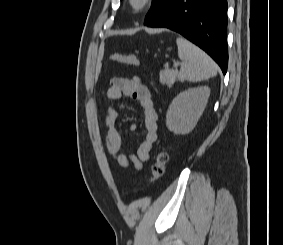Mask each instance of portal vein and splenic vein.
<instances>
[{"mask_svg":"<svg viewBox=\"0 0 283 245\" xmlns=\"http://www.w3.org/2000/svg\"><path fill=\"white\" fill-rule=\"evenodd\" d=\"M178 65H179V63H174V64H173V67H174V68H177Z\"/></svg>","mask_w":283,"mask_h":245,"instance_id":"18ae733b","label":"portal vein and splenic vein"}]
</instances>
